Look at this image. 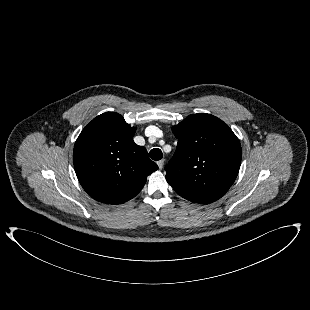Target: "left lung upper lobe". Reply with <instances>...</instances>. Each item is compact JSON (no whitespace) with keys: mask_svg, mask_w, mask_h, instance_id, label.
<instances>
[{"mask_svg":"<svg viewBox=\"0 0 310 310\" xmlns=\"http://www.w3.org/2000/svg\"><path fill=\"white\" fill-rule=\"evenodd\" d=\"M172 132L178 144L166 165L167 182L180 196L196 203L220 199L239 172V139L222 120L206 113L189 115Z\"/></svg>","mask_w":310,"mask_h":310,"instance_id":"5c2ea615","label":"left lung upper lobe"}]
</instances>
